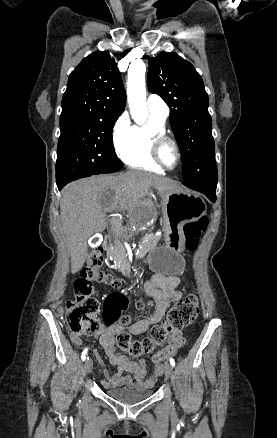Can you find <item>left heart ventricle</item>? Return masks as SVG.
Segmentation results:
<instances>
[{
	"mask_svg": "<svg viewBox=\"0 0 277 438\" xmlns=\"http://www.w3.org/2000/svg\"><path fill=\"white\" fill-rule=\"evenodd\" d=\"M162 159L168 166L176 162V151L172 144H166L162 149Z\"/></svg>",
	"mask_w": 277,
	"mask_h": 438,
	"instance_id": "1",
	"label": "left heart ventricle"
}]
</instances>
